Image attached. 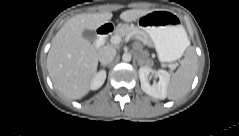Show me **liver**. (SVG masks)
<instances>
[{
    "instance_id": "1",
    "label": "liver",
    "mask_w": 239,
    "mask_h": 136,
    "mask_svg": "<svg viewBox=\"0 0 239 136\" xmlns=\"http://www.w3.org/2000/svg\"><path fill=\"white\" fill-rule=\"evenodd\" d=\"M149 13L146 10H127L120 19L136 21ZM112 13L79 14L70 18L55 35L47 56V68L54 87L66 98L76 100L88 94L94 78L98 56L95 47L84 39L85 29L96 30L108 23Z\"/></svg>"
}]
</instances>
